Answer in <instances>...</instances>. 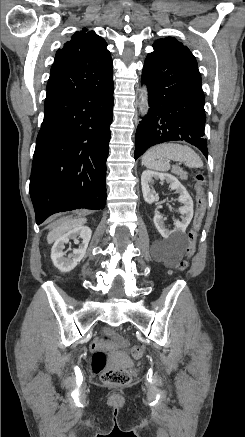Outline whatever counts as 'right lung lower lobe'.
<instances>
[{
    "label": "right lung lower lobe",
    "mask_w": 245,
    "mask_h": 437,
    "mask_svg": "<svg viewBox=\"0 0 245 437\" xmlns=\"http://www.w3.org/2000/svg\"><path fill=\"white\" fill-rule=\"evenodd\" d=\"M113 91L112 78L45 107L29 187L38 225L61 211L104 209Z\"/></svg>",
    "instance_id": "right-lung-lower-lobe-1"
}]
</instances>
